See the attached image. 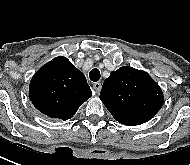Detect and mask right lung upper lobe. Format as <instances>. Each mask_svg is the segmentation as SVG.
<instances>
[{
	"label": "right lung upper lobe",
	"mask_w": 190,
	"mask_h": 165,
	"mask_svg": "<svg viewBox=\"0 0 190 165\" xmlns=\"http://www.w3.org/2000/svg\"><path fill=\"white\" fill-rule=\"evenodd\" d=\"M92 96L85 75L63 56L43 65L31 79L29 98L43 114L70 119Z\"/></svg>",
	"instance_id": "cb5924a9"
}]
</instances>
